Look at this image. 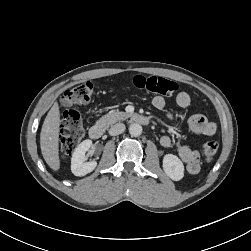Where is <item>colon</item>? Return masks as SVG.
Wrapping results in <instances>:
<instances>
[{
	"label": "colon",
	"mask_w": 251,
	"mask_h": 251,
	"mask_svg": "<svg viewBox=\"0 0 251 251\" xmlns=\"http://www.w3.org/2000/svg\"><path fill=\"white\" fill-rule=\"evenodd\" d=\"M132 84L139 90L152 94L171 96L177 92L179 86L176 82L158 76H135ZM94 92L91 82H84L68 88L61 98V135L60 152L62 158H68L84 135V127L80 113L75 109L76 106L87 104ZM219 144L215 140L207 141L202 146V154L206 161H211L218 152Z\"/></svg>",
	"instance_id": "5ec220e1"
}]
</instances>
